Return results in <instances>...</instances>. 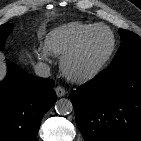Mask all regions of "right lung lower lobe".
Listing matches in <instances>:
<instances>
[{
	"label": "right lung lower lobe",
	"instance_id": "right-lung-lower-lobe-1",
	"mask_svg": "<svg viewBox=\"0 0 141 141\" xmlns=\"http://www.w3.org/2000/svg\"><path fill=\"white\" fill-rule=\"evenodd\" d=\"M54 81L9 64L0 83V141H36L44 114L57 100Z\"/></svg>",
	"mask_w": 141,
	"mask_h": 141
}]
</instances>
